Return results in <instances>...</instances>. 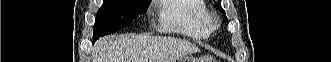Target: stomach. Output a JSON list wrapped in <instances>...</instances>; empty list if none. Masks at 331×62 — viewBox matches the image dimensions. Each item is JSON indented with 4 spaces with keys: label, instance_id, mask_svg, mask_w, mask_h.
Masks as SVG:
<instances>
[{
    "label": "stomach",
    "instance_id": "obj_1",
    "mask_svg": "<svg viewBox=\"0 0 331 62\" xmlns=\"http://www.w3.org/2000/svg\"><path fill=\"white\" fill-rule=\"evenodd\" d=\"M175 62H195L194 59L187 57V56H182Z\"/></svg>",
    "mask_w": 331,
    "mask_h": 62
}]
</instances>
